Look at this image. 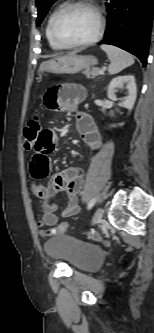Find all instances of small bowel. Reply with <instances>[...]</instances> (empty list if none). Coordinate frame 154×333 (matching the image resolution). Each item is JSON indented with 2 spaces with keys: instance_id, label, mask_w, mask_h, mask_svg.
Listing matches in <instances>:
<instances>
[{
  "instance_id": "c3829d8e",
  "label": "small bowel",
  "mask_w": 154,
  "mask_h": 333,
  "mask_svg": "<svg viewBox=\"0 0 154 333\" xmlns=\"http://www.w3.org/2000/svg\"><path fill=\"white\" fill-rule=\"evenodd\" d=\"M85 97V89L73 83H65L50 88L45 95V104L51 109L73 112ZM76 127L82 139L94 150L101 146V136L92 117L84 112L76 115ZM56 134L48 128L38 133L33 154L30 159V172L34 179L41 180L49 175L51 169L50 155L56 149ZM83 187V178L78 169L70 168L53 175L48 183L32 184L33 194L41 200L43 210L42 223L47 226L56 225L60 217L67 218L81 211L79 193ZM65 192L67 204L61 215L57 214L58 204L53 196L57 192Z\"/></svg>"
}]
</instances>
